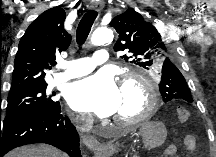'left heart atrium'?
Wrapping results in <instances>:
<instances>
[{
  "mask_svg": "<svg viewBox=\"0 0 216 157\" xmlns=\"http://www.w3.org/2000/svg\"><path fill=\"white\" fill-rule=\"evenodd\" d=\"M66 99L76 111L107 117L113 115L119 107L120 88L111 72L101 71L72 83Z\"/></svg>",
  "mask_w": 216,
  "mask_h": 157,
  "instance_id": "39dd6f15",
  "label": "left heart atrium"
}]
</instances>
